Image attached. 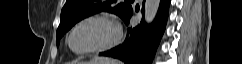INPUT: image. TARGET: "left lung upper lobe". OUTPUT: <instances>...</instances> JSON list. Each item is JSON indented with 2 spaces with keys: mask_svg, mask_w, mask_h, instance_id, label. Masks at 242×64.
Wrapping results in <instances>:
<instances>
[{
  "mask_svg": "<svg viewBox=\"0 0 242 64\" xmlns=\"http://www.w3.org/2000/svg\"><path fill=\"white\" fill-rule=\"evenodd\" d=\"M67 0L61 11L60 25L57 29V45L59 39L77 22L95 13L106 11L125 19L132 11L129 4L133 0Z\"/></svg>",
  "mask_w": 242,
  "mask_h": 64,
  "instance_id": "left-lung-upper-lobe-1",
  "label": "left lung upper lobe"
}]
</instances>
